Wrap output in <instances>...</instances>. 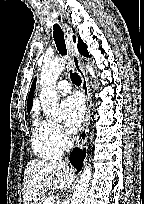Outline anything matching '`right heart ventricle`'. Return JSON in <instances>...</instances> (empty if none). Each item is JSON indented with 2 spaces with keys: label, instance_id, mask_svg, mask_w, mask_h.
<instances>
[{
  "label": "right heart ventricle",
  "instance_id": "obj_1",
  "mask_svg": "<svg viewBox=\"0 0 144 204\" xmlns=\"http://www.w3.org/2000/svg\"><path fill=\"white\" fill-rule=\"evenodd\" d=\"M32 149L42 160H56L61 157L63 150L56 145L51 137L50 123L34 113L32 120Z\"/></svg>",
  "mask_w": 144,
  "mask_h": 204
}]
</instances>
